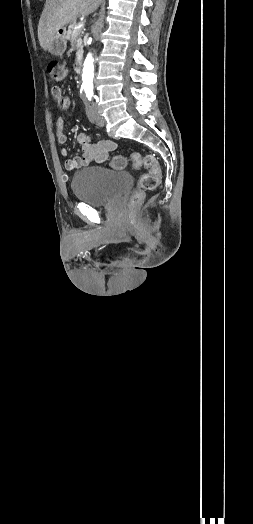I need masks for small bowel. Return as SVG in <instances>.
I'll return each instance as SVG.
<instances>
[{
  "instance_id": "c3829d8e",
  "label": "small bowel",
  "mask_w": 253,
  "mask_h": 524,
  "mask_svg": "<svg viewBox=\"0 0 253 524\" xmlns=\"http://www.w3.org/2000/svg\"><path fill=\"white\" fill-rule=\"evenodd\" d=\"M51 93L61 109H68L70 107L71 100L69 97L63 95L60 87H53ZM64 129L65 121L62 117H59L56 121V138L61 145L67 143V136ZM77 142L81 149L80 156L68 158L67 151L65 149L62 150V155L65 157V166L69 170L88 166L92 162H103L107 159L109 152L116 148V143L111 140L92 142L90 137L83 132L77 134Z\"/></svg>"
}]
</instances>
